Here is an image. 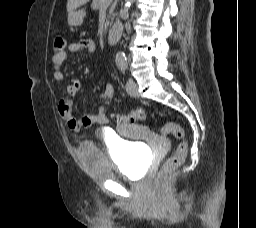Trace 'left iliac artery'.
Listing matches in <instances>:
<instances>
[{"label":"left iliac artery","mask_w":256,"mask_h":228,"mask_svg":"<svg viewBox=\"0 0 256 228\" xmlns=\"http://www.w3.org/2000/svg\"><path fill=\"white\" fill-rule=\"evenodd\" d=\"M123 67L127 68V65H124Z\"/></svg>","instance_id":"left-iliac-artery-1"}]
</instances>
